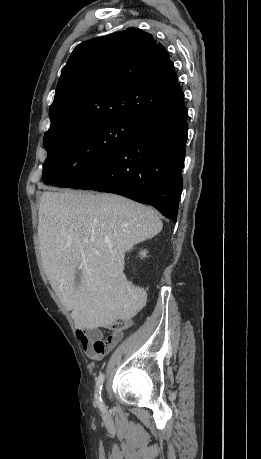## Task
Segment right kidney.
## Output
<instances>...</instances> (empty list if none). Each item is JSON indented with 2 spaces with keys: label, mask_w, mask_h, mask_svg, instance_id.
Here are the masks:
<instances>
[{
  "label": "right kidney",
  "mask_w": 261,
  "mask_h": 459,
  "mask_svg": "<svg viewBox=\"0 0 261 459\" xmlns=\"http://www.w3.org/2000/svg\"><path fill=\"white\" fill-rule=\"evenodd\" d=\"M146 253H147L146 250L142 251V252H141V256H142V257H146Z\"/></svg>",
  "instance_id": "obj_1"
}]
</instances>
